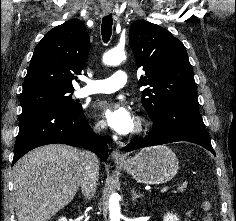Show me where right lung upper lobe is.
Instances as JSON below:
<instances>
[{
	"instance_id": "right-lung-upper-lobe-1",
	"label": "right lung upper lobe",
	"mask_w": 236,
	"mask_h": 221,
	"mask_svg": "<svg viewBox=\"0 0 236 221\" xmlns=\"http://www.w3.org/2000/svg\"><path fill=\"white\" fill-rule=\"evenodd\" d=\"M89 49L82 21L71 19L54 27L35 47L22 94L45 88L74 90L72 80L81 74Z\"/></svg>"
}]
</instances>
